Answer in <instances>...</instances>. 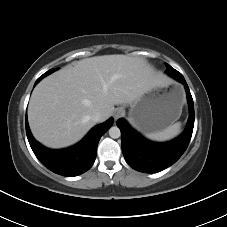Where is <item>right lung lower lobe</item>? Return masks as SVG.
<instances>
[{"mask_svg": "<svg viewBox=\"0 0 227 227\" xmlns=\"http://www.w3.org/2000/svg\"><path fill=\"white\" fill-rule=\"evenodd\" d=\"M39 77L35 85L42 79ZM113 119L95 126L76 145L60 150H51L38 143L32 136L26 116V134L29 144L39 161L52 172L73 177L88 171L96 158V150L101 136L112 126Z\"/></svg>", "mask_w": 227, "mask_h": 227, "instance_id": "98d812e1", "label": "right lung lower lobe"}]
</instances>
